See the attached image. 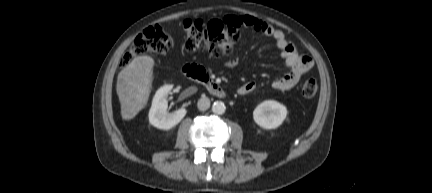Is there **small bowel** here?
Segmentation results:
<instances>
[{
	"mask_svg": "<svg viewBox=\"0 0 432 193\" xmlns=\"http://www.w3.org/2000/svg\"><path fill=\"white\" fill-rule=\"evenodd\" d=\"M224 21L237 28H245L256 33H261L265 36L271 37L276 47L279 50V55L283 60L284 67L287 72L276 79L272 87L278 91H287L292 89L298 84L304 74H306L314 65L312 58L307 55L300 54L296 47L289 42L285 34L270 25L267 22L259 20L255 17L244 15V16H229ZM239 58L234 57L225 62L226 68H234L238 65ZM256 88V84L253 81H248L242 84L238 89L239 95H247L253 92Z\"/></svg>",
	"mask_w": 432,
	"mask_h": 193,
	"instance_id": "c3829d8e",
	"label": "small bowel"
}]
</instances>
